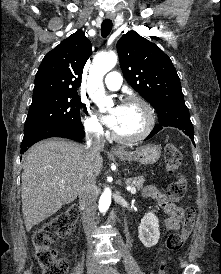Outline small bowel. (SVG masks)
Here are the masks:
<instances>
[{"instance_id": "obj_1", "label": "small bowel", "mask_w": 221, "mask_h": 274, "mask_svg": "<svg viewBox=\"0 0 221 274\" xmlns=\"http://www.w3.org/2000/svg\"><path fill=\"white\" fill-rule=\"evenodd\" d=\"M144 197L154 199L167 218L163 222L165 231H176L181 227L184 218V209L168 200L167 196L154 186H147L143 191Z\"/></svg>"}]
</instances>
